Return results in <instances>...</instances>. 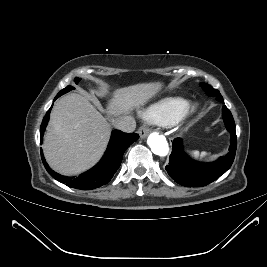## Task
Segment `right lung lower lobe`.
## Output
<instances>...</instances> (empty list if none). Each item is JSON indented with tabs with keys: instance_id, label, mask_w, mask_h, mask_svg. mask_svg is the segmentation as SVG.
<instances>
[{
	"instance_id": "98d812e1",
	"label": "right lung lower lobe",
	"mask_w": 267,
	"mask_h": 267,
	"mask_svg": "<svg viewBox=\"0 0 267 267\" xmlns=\"http://www.w3.org/2000/svg\"><path fill=\"white\" fill-rule=\"evenodd\" d=\"M59 96L61 95L58 94L55 97V99H57ZM51 108L47 111L41 124L40 128L41 141L44 134V130L49 120ZM138 138L139 135L136 133L127 134L119 130H114L112 132L107 150L101 161L95 167L81 174L78 177H66L58 173H55L48 166V164L44 159L43 154L41 153L42 161L48 173L59 182L65 183L67 186L76 189H85V190L95 189L106 184L108 181L111 180L117 169L120 167L125 150Z\"/></svg>"
}]
</instances>
